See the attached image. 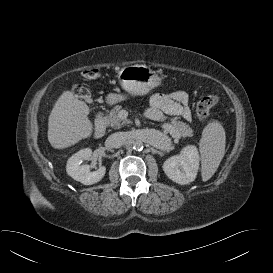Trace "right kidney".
Here are the masks:
<instances>
[{"mask_svg": "<svg viewBox=\"0 0 273 273\" xmlns=\"http://www.w3.org/2000/svg\"><path fill=\"white\" fill-rule=\"evenodd\" d=\"M92 156V150L85 148L73 154L67 161L66 171L74 180L84 185H92L99 182L105 175L106 168L99 167L97 171L91 172L87 164L83 161L89 160Z\"/></svg>", "mask_w": 273, "mask_h": 273, "instance_id": "obj_1", "label": "right kidney"}]
</instances>
